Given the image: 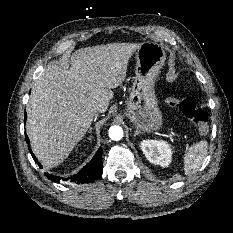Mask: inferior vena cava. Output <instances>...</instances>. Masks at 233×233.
Returning a JSON list of instances; mask_svg holds the SVG:
<instances>
[{
  "label": "inferior vena cava",
  "instance_id": "1",
  "mask_svg": "<svg viewBox=\"0 0 233 233\" xmlns=\"http://www.w3.org/2000/svg\"><path fill=\"white\" fill-rule=\"evenodd\" d=\"M91 113H92V115H94V116H95V115H97V113H98V109H94V110H92V112H91Z\"/></svg>",
  "mask_w": 233,
  "mask_h": 233
}]
</instances>
